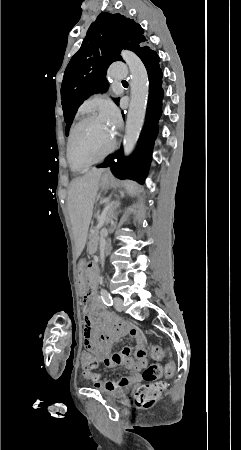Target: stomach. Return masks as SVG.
<instances>
[{
  "label": "stomach",
  "mask_w": 241,
  "mask_h": 450,
  "mask_svg": "<svg viewBox=\"0 0 241 450\" xmlns=\"http://www.w3.org/2000/svg\"><path fill=\"white\" fill-rule=\"evenodd\" d=\"M110 184V178L108 175H103L100 178L99 181V186L102 189H106ZM85 261H80L79 265H78V277H77V282H78V287L80 289V291H82L83 293L85 292L86 289V275H85Z\"/></svg>",
  "instance_id": "stomach-1"
}]
</instances>
